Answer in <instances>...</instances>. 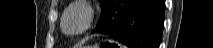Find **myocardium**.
Returning <instances> with one entry per match:
<instances>
[{"instance_id":"obj_1","label":"myocardium","mask_w":213,"mask_h":48,"mask_svg":"<svg viewBox=\"0 0 213 48\" xmlns=\"http://www.w3.org/2000/svg\"><path fill=\"white\" fill-rule=\"evenodd\" d=\"M73 9H80L84 12V14H85V25L81 30H79L77 32H68L65 28V19H66L67 15L69 14V12L72 11ZM94 17H95V10L93 9V7L90 4H88L85 1L74 2L71 5H69L63 11L62 18H61L62 31L66 35H69V36L81 35V34L85 33L86 31H88L90 29V27L92 26Z\"/></svg>"}]
</instances>
